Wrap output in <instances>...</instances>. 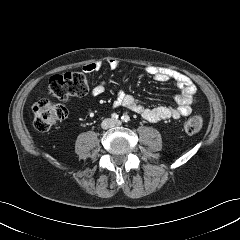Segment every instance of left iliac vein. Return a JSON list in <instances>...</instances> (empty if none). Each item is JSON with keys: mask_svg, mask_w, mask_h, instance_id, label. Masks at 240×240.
<instances>
[{"mask_svg": "<svg viewBox=\"0 0 240 240\" xmlns=\"http://www.w3.org/2000/svg\"><path fill=\"white\" fill-rule=\"evenodd\" d=\"M114 125H116V126L121 125V121H119V120L114 121Z\"/></svg>", "mask_w": 240, "mask_h": 240, "instance_id": "4c4485c4", "label": "left iliac vein"}]
</instances>
